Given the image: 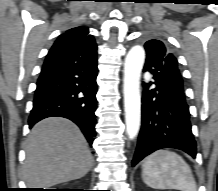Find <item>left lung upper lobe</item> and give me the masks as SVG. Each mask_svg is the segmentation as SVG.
Instances as JSON below:
<instances>
[{
	"mask_svg": "<svg viewBox=\"0 0 218 191\" xmlns=\"http://www.w3.org/2000/svg\"><path fill=\"white\" fill-rule=\"evenodd\" d=\"M146 63L165 78V87L178 84L183 89V80L178 67V61L164 44L159 40H149L144 45Z\"/></svg>",
	"mask_w": 218,
	"mask_h": 191,
	"instance_id": "left-lung-upper-lobe-1",
	"label": "left lung upper lobe"
}]
</instances>
